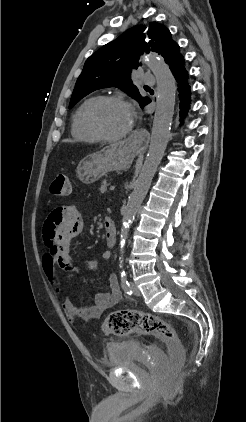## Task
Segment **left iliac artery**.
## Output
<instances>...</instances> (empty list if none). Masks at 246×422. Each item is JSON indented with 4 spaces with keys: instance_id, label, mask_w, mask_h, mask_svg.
<instances>
[{
    "instance_id": "1",
    "label": "left iliac artery",
    "mask_w": 246,
    "mask_h": 422,
    "mask_svg": "<svg viewBox=\"0 0 246 422\" xmlns=\"http://www.w3.org/2000/svg\"><path fill=\"white\" fill-rule=\"evenodd\" d=\"M121 286H122L124 292L127 293L128 295H131L133 293L131 286H130L128 280H127V275H126L125 271L121 272Z\"/></svg>"
}]
</instances>
